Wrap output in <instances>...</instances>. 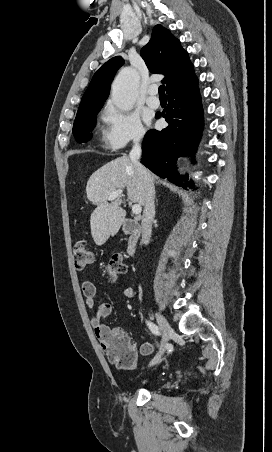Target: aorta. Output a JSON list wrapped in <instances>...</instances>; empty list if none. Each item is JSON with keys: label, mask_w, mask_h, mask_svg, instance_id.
I'll list each match as a JSON object with an SVG mask.
<instances>
[{"label": "aorta", "mask_w": 272, "mask_h": 452, "mask_svg": "<svg viewBox=\"0 0 272 452\" xmlns=\"http://www.w3.org/2000/svg\"><path fill=\"white\" fill-rule=\"evenodd\" d=\"M139 76L132 68H124L111 87V100L122 111L131 110L138 95Z\"/></svg>", "instance_id": "762f6f07"}]
</instances>
